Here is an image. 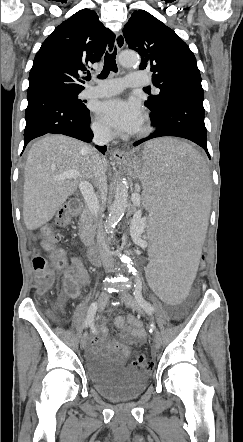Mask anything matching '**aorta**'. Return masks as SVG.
I'll return each mask as SVG.
<instances>
[{
    "label": "aorta",
    "mask_w": 243,
    "mask_h": 442,
    "mask_svg": "<svg viewBox=\"0 0 243 442\" xmlns=\"http://www.w3.org/2000/svg\"><path fill=\"white\" fill-rule=\"evenodd\" d=\"M119 62L124 68H134L139 64V58L131 52H123L119 57ZM128 203V184L126 180L118 179L116 182L114 201L109 208V215L105 221V230L112 234L115 226L123 217ZM127 259V256H123Z\"/></svg>",
    "instance_id": "aorta-1"
}]
</instances>
